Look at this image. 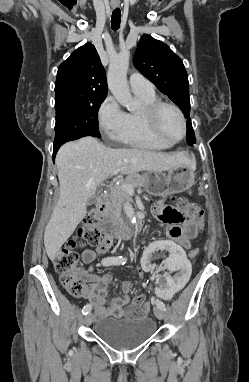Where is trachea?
<instances>
[{"label":"trachea","instance_id":"obj_1","mask_svg":"<svg viewBox=\"0 0 249 382\" xmlns=\"http://www.w3.org/2000/svg\"><path fill=\"white\" fill-rule=\"evenodd\" d=\"M121 23V12L119 8H116L111 16V26L114 31H117Z\"/></svg>","mask_w":249,"mask_h":382}]
</instances>
